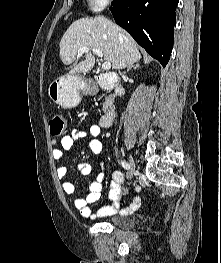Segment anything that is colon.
Wrapping results in <instances>:
<instances>
[{
  "mask_svg": "<svg viewBox=\"0 0 221 263\" xmlns=\"http://www.w3.org/2000/svg\"><path fill=\"white\" fill-rule=\"evenodd\" d=\"M67 128V122L62 114H54L49 121V131L52 137L63 135Z\"/></svg>",
  "mask_w": 221,
  "mask_h": 263,
  "instance_id": "1",
  "label": "colon"
}]
</instances>
